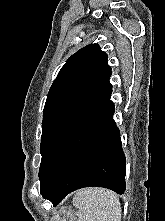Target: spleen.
Segmentation results:
<instances>
[{"label":"spleen","mask_w":165,"mask_h":221,"mask_svg":"<svg viewBox=\"0 0 165 221\" xmlns=\"http://www.w3.org/2000/svg\"><path fill=\"white\" fill-rule=\"evenodd\" d=\"M78 221H121V204L117 195L102 188L79 190L73 197Z\"/></svg>","instance_id":"spleen-1"}]
</instances>
